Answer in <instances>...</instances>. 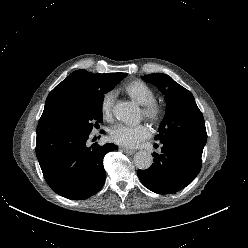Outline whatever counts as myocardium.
<instances>
[{
	"label": "myocardium",
	"instance_id": "f54148a6",
	"mask_svg": "<svg viewBox=\"0 0 248 248\" xmlns=\"http://www.w3.org/2000/svg\"><path fill=\"white\" fill-rule=\"evenodd\" d=\"M165 114V106L157 100H153L147 104L142 105L143 117L154 125L161 123L165 117Z\"/></svg>",
	"mask_w": 248,
	"mask_h": 248
}]
</instances>
